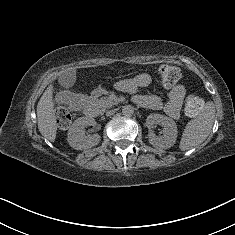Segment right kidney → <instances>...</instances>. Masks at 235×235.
Wrapping results in <instances>:
<instances>
[{"mask_svg":"<svg viewBox=\"0 0 235 235\" xmlns=\"http://www.w3.org/2000/svg\"><path fill=\"white\" fill-rule=\"evenodd\" d=\"M88 125L84 119H78L70 128L68 133V142L75 149L91 148L99 143L100 136L98 133L92 135L85 134V127Z\"/></svg>","mask_w":235,"mask_h":235,"instance_id":"right-kidney-1","label":"right kidney"}]
</instances>
